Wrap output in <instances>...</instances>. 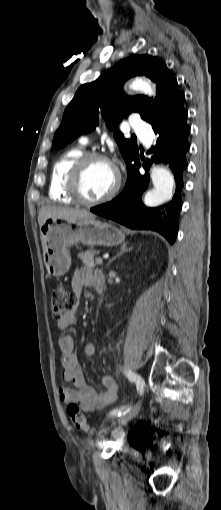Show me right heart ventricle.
Masks as SVG:
<instances>
[{"instance_id":"right-heart-ventricle-1","label":"right heart ventricle","mask_w":221,"mask_h":510,"mask_svg":"<svg viewBox=\"0 0 221 510\" xmlns=\"http://www.w3.org/2000/svg\"><path fill=\"white\" fill-rule=\"evenodd\" d=\"M84 154L81 146L70 148L63 152L54 162L49 184V197L58 202L73 203L66 188L67 176L75 161Z\"/></svg>"}]
</instances>
